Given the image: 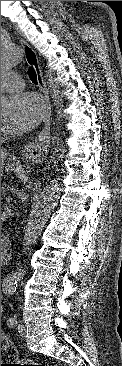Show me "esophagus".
I'll return each mask as SVG.
<instances>
[{
    "mask_svg": "<svg viewBox=\"0 0 122 366\" xmlns=\"http://www.w3.org/2000/svg\"><path fill=\"white\" fill-rule=\"evenodd\" d=\"M24 55L26 61L35 69L37 74V81L39 88L43 92L46 111H45V126L39 133L38 140L26 147V151L29 154H33L37 151L46 150L50 144V124H51V102L48 94V89L44 81V77L39 65L38 57L36 52L30 47L24 40H21Z\"/></svg>",
    "mask_w": 122,
    "mask_h": 366,
    "instance_id": "esophagus-1",
    "label": "esophagus"
}]
</instances>
